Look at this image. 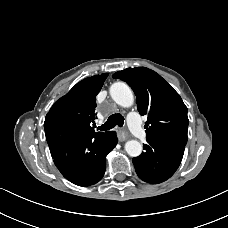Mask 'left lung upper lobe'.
<instances>
[{
	"label": "left lung upper lobe",
	"mask_w": 228,
	"mask_h": 228,
	"mask_svg": "<svg viewBox=\"0 0 228 228\" xmlns=\"http://www.w3.org/2000/svg\"><path fill=\"white\" fill-rule=\"evenodd\" d=\"M113 78L125 81L133 89L139 113L147 116V138H167L186 145L187 107L169 83L145 67L118 71Z\"/></svg>",
	"instance_id": "1"
}]
</instances>
